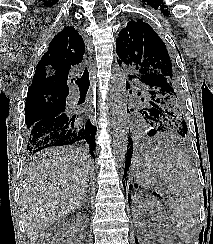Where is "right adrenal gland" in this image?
<instances>
[{
	"label": "right adrenal gland",
	"mask_w": 213,
	"mask_h": 244,
	"mask_svg": "<svg viewBox=\"0 0 213 244\" xmlns=\"http://www.w3.org/2000/svg\"><path fill=\"white\" fill-rule=\"evenodd\" d=\"M85 202L89 203V201H88V195H86V199H85V201L83 203H85Z\"/></svg>",
	"instance_id": "1"
}]
</instances>
